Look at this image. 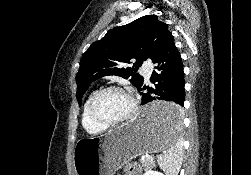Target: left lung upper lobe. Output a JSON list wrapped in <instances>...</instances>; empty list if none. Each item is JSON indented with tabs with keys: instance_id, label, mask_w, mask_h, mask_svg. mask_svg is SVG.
I'll list each match as a JSON object with an SVG mask.
<instances>
[{
	"instance_id": "left-lung-upper-lobe-1",
	"label": "left lung upper lobe",
	"mask_w": 251,
	"mask_h": 175,
	"mask_svg": "<svg viewBox=\"0 0 251 175\" xmlns=\"http://www.w3.org/2000/svg\"><path fill=\"white\" fill-rule=\"evenodd\" d=\"M170 34L168 25L156 15L143 16L127 25L109 30L99 41L94 42L83 54L76 76L77 100L81 105L83 94L89 85L106 75L132 77L130 82L140 89L143 77L137 73L146 59L159 53ZM135 61L132 67L126 63Z\"/></svg>"
}]
</instances>
